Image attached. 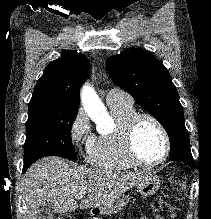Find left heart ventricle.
<instances>
[{
	"label": "left heart ventricle",
	"instance_id": "1",
	"mask_svg": "<svg viewBox=\"0 0 211 219\" xmlns=\"http://www.w3.org/2000/svg\"><path fill=\"white\" fill-rule=\"evenodd\" d=\"M164 139L158 127L143 119L135 131V148L139 158L145 162H156L164 153Z\"/></svg>",
	"mask_w": 211,
	"mask_h": 219
}]
</instances>
